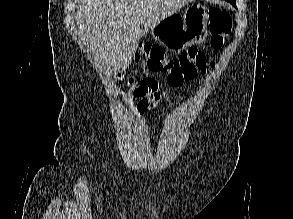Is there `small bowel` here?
<instances>
[{
  "label": "small bowel",
  "mask_w": 293,
  "mask_h": 219,
  "mask_svg": "<svg viewBox=\"0 0 293 219\" xmlns=\"http://www.w3.org/2000/svg\"><path fill=\"white\" fill-rule=\"evenodd\" d=\"M134 96L139 98L136 106L137 114L152 110L161 99H167L166 92L159 91L158 82L151 78L143 79L134 89Z\"/></svg>",
  "instance_id": "c3829d8e"
}]
</instances>
